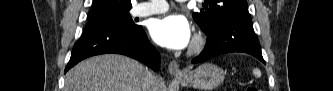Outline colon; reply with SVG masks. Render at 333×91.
I'll use <instances>...</instances> for the list:
<instances>
[{
    "mask_svg": "<svg viewBox=\"0 0 333 91\" xmlns=\"http://www.w3.org/2000/svg\"><path fill=\"white\" fill-rule=\"evenodd\" d=\"M245 91H258L254 85H249L246 87Z\"/></svg>",
    "mask_w": 333,
    "mask_h": 91,
    "instance_id": "1",
    "label": "colon"
}]
</instances>
